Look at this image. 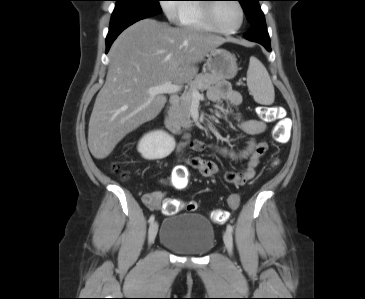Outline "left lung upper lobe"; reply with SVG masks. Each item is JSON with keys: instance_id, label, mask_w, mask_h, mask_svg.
<instances>
[{"instance_id": "1", "label": "left lung upper lobe", "mask_w": 365, "mask_h": 299, "mask_svg": "<svg viewBox=\"0 0 365 299\" xmlns=\"http://www.w3.org/2000/svg\"><path fill=\"white\" fill-rule=\"evenodd\" d=\"M246 14V17L251 25L261 21L264 18V14L259 6L261 0H238Z\"/></svg>"}]
</instances>
